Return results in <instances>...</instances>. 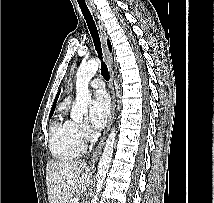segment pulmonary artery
Wrapping results in <instances>:
<instances>
[{
  "label": "pulmonary artery",
  "mask_w": 214,
  "mask_h": 203,
  "mask_svg": "<svg viewBox=\"0 0 214 203\" xmlns=\"http://www.w3.org/2000/svg\"><path fill=\"white\" fill-rule=\"evenodd\" d=\"M105 86L103 80L96 78L90 82V87L93 89H103Z\"/></svg>",
  "instance_id": "obj_1"
}]
</instances>
